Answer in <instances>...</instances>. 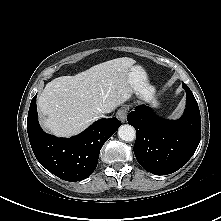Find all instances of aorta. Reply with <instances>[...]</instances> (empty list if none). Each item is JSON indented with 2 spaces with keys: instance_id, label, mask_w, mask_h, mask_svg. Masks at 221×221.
<instances>
[{
  "instance_id": "1",
  "label": "aorta",
  "mask_w": 221,
  "mask_h": 221,
  "mask_svg": "<svg viewBox=\"0 0 221 221\" xmlns=\"http://www.w3.org/2000/svg\"><path fill=\"white\" fill-rule=\"evenodd\" d=\"M118 136L123 141L131 142L136 137V131L133 126L125 124L118 129Z\"/></svg>"
}]
</instances>
